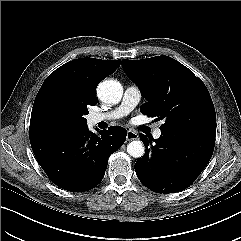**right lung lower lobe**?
Listing matches in <instances>:
<instances>
[{
	"instance_id": "98d812e1",
	"label": "right lung lower lobe",
	"mask_w": 241,
	"mask_h": 241,
	"mask_svg": "<svg viewBox=\"0 0 241 241\" xmlns=\"http://www.w3.org/2000/svg\"><path fill=\"white\" fill-rule=\"evenodd\" d=\"M91 133L87 126L31 141L35 157L53 183L72 192L88 191L104 177L109 156L125 142L127 131L111 126Z\"/></svg>"
}]
</instances>
